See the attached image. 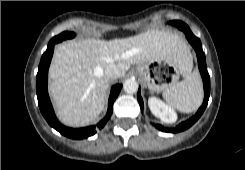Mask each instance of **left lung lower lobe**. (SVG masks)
<instances>
[{
    "instance_id": "obj_1",
    "label": "left lung lower lobe",
    "mask_w": 245,
    "mask_h": 170,
    "mask_svg": "<svg viewBox=\"0 0 245 170\" xmlns=\"http://www.w3.org/2000/svg\"><path fill=\"white\" fill-rule=\"evenodd\" d=\"M179 29L182 30L186 34L187 40L194 47V49L196 51L197 58H198V66H199V70H200V73H201V76L203 79V84H204V102H203L202 106L200 107V109L198 110V112L193 117H191L187 121L180 123L174 129H168V128L163 127L162 125L157 124L156 127L163 132L176 133V132L184 131V130L188 129L189 127H191L200 118V116L204 112V110L207 106L208 100H209V96H210V77H209V74L207 71L205 54L202 50L201 42L197 37H195L193 35L190 28L185 23L182 22L180 24ZM137 99H138V102H139V104L141 106V110H142L144 105H143V100H142L141 95H140V88L138 90Z\"/></svg>"
}]
</instances>
